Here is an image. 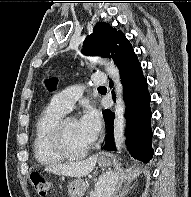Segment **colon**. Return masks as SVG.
<instances>
[{"label":"colon","instance_id":"obj_1","mask_svg":"<svg viewBox=\"0 0 191 197\" xmlns=\"http://www.w3.org/2000/svg\"><path fill=\"white\" fill-rule=\"evenodd\" d=\"M31 181L37 194L40 196H46L48 194L50 184L42 175L33 173L31 175Z\"/></svg>","mask_w":191,"mask_h":197}]
</instances>
